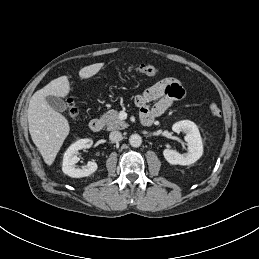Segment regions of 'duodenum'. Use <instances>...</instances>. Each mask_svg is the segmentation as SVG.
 Segmentation results:
<instances>
[{
  "mask_svg": "<svg viewBox=\"0 0 259 259\" xmlns=\"http://www.w3.org/2000/svg\"><path fill=\"white\" fill-rule=\"evenodd\" d=\"M141 120L144 124H150L152 122V119L151 118H145V117H141ZM90 129L93 131V132H99L102 127H103V122L101 119L99 118H94L90 121Z\"/></svg>",
  "mask_w": 259,
  "mask_h": 259,
  "instance_id": "410a0bca",
  "label": "duodenum"
}]
</instances>
